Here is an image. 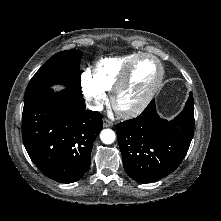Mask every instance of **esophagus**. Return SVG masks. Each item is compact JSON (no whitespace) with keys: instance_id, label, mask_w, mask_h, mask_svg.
Returning <instances> with one entry per match:
<instances>
[{"instance_id":"1","label":"esophagus","mask_w":221,"mask_h":221,"mask_svg":"<svg viewBox=\"0 0 221 221\" xmlns=\"http://www.w3.org/2000/svg\"><path fill=\"white\" fill-rule=\"evenodd\" d=\"M113 125V123L107 119V118H104L103 119V127H111Z\"/></svg>"}]
</instances>
